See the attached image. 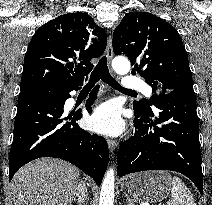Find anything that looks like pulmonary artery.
Returning <instances> with one entry per match:
<instances>
[{
    "instance_id": "e3ab8cb5",
    "label": "pulmonary artery",
    "mask_w": 212,
    "mask_h": 205,
    "mask_svg": "<svg viewBox=\"0 0 212 205\" xmlns=\"http://www.w3.org/2000/svg\"><path fill=\"white\" fill-rule=\"evenodd\" d=\"M123 87L128 90H139L143 92L147 97H150L152 95V89L151 87L145 83L143 80L127 76L124 78L123 81Z\"/></svg>"
}]
</instances>
